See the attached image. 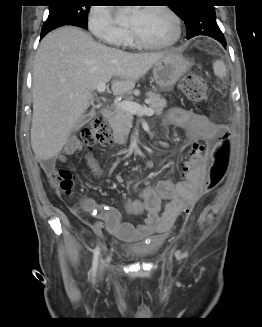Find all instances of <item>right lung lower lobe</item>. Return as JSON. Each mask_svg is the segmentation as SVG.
<instances>
[{
  "label": "right lung lower lobe",
  "mask_w": 262,
  "mask_h": 327,
  "mask_svg": "<svg viewBox=\"0 0 262 327\" xmlns=\"http://www.w3.org/2000/svg\"><path fill=\"white\" fill-rule=\"evenodd\" d=\"M64 25H74V26H78V27H82V28H86L87 25H83V24H80V23H75V22H68V23H61V24H58V25H55V26H52V27H48V28H45V29H42L41 31V39L48 33L50 32L51 30L57 28V27H60V26H64Z\"/></svg>",
  "instance_id": "1"
}]
</instances>
